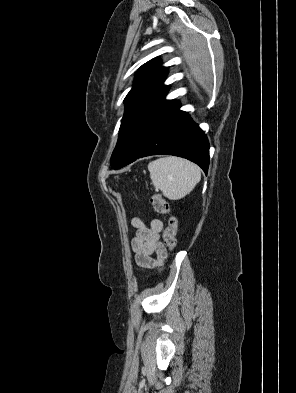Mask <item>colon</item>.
Returning a JSON list of instances; mask_svg holds the SVG:
<instances>
[{
	"mask_svg": "<svg viewBox=\"0 0 296 393\" xmlns=\"http://www.w3.org/2000/svg\"><path fill=\"white\" fill-rule=\"evenodd\" d=\"M151 204L153 209L159 214L169 215L171 212L169 203L160 194H154L151 197ZM176 232L177 220L175 217L170 216L163 232L164 244L170 251H173L176 246Z\"/></svg>",
	"mask_w": 296,
	"mask_h": 393,
	"instance_id": "obj_1",
	"label": "colon"
}]
</instances>
